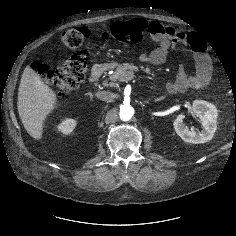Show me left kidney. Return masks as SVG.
<instances>
[{"instance_id": "left-kidney-1", "label": "left kidney", "mask_w": 236, "mask_h": 236, "mask_svg": "<svg viewBox=\"0 0 236 236\" xmlns=\"http://www.w3.org/2000/svg\"><path fill=\"white\" fill-rule=\"evenodd\" d=\"M194 114L200 118L203 125L201 132L189 129L183 119L184 114H179L174 120L173 126L179 137L185 142L201 144L211 140L217 129L218 110L216 107L204 100H194L192 104Z\"/></svg>"}]
</instances>
